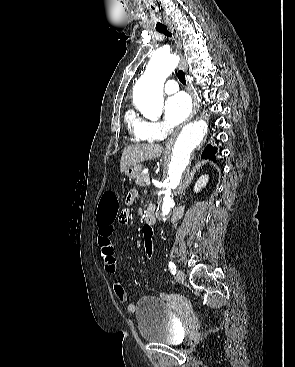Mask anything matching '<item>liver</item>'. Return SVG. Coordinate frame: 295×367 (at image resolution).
<instances>
[{
  "label": "liver",
  "instance_id": "6515ba94",
  "mask_svg": "<svg viewBox=\"0 0 295 367\" xmlns=\"http://www.w3.org/2000/svg\"><path fill=\"white\" fill-rule=\"evenodd\" d=\"M163 147L158 144H134L124 148L120 171L124 172L128 167L140 162L154 160L160 157Z\"/></svg>",
  "mask_w": 295,
  "mask_h": 367
}]
</instances>
